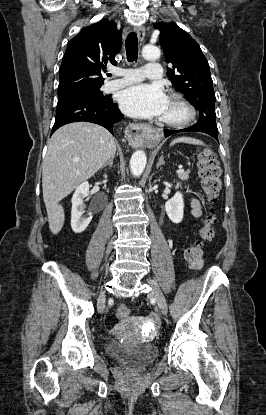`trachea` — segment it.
<instances>
[{"mask_svg":"<svg viewBox=\"0 0 266 415\" xmlns=\"http://www.w3.org/2000/svg\"><path fill=\"white\" fill-rule=\"evenodd\" d=\"M127 60L133 62L138 57V40L135 32L129 33L125 41Z\"/></svg>","mask_w":266,"mask_h":415,"instance_id":"trachea-1","label":"trachea"}]
</instances>
